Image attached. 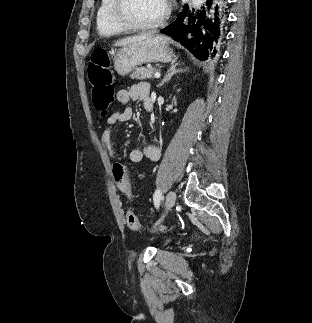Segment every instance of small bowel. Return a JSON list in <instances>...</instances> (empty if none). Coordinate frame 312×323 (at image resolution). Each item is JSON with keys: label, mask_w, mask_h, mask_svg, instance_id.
I'll use <instances>...</instances> for the list:
<instances>
[{"label": "small bowel", "mask_w": 312, "mask_h": 323, "mask_svg": "<svg viewBox=\"0 0 312 323\" xmlns=\"http://www.w3.org/2000/svg\"><path fill=\"white\" fill-rule=\"evenodd\" d=\"M148 92H150L149 83L142 81L131 85L127 89L118 90L116 93V99L121 104H127L133 101H142L145 99V95ZM133 114L132 108L123 107L111 114L103 125L101 141L111 159H114L116 156L112 141V133L118 125L130 121ZM129 157L134 163L141 162L143 159L156 162L160 158V149L154 145L136 147L130 151Z\"/></svg>", "instance_id": "1"}]
</instances>
